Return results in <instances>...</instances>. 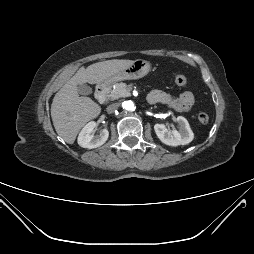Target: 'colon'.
<instances>
[{"mask_svg":"<svg viewBox=\"0 0 254 254\" xmlns=\"http://www.w3.org/2000/svg\"><path fill=\"white\" fill-rule=\"evenodd\" d=\"M174 82L177 85L183 86V85L187 84L188 77L185 74H177L174 77ZM197 118H198L199 122H201L202 124H206L209 120V116L204 112L199 113Z\"/></svg>","mask_w":254,"mask_h":254,"instance_id":"5ec220e1","label":"colon"}]
</instances>
